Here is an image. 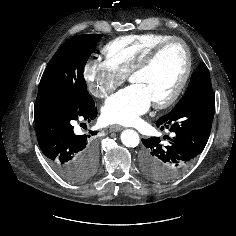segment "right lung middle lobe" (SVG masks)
<instances>
[{"instance_id":"obj_1","label":"right lung middle lobe","mask_w":236,"mask_h":236,"mask_svg":"<svg viewBox=\"0 0 236 236\" xmlns=\"http://www.w3.org/2000/svg\"><path fill=\"white\" fill-rule=\"evenodd\" d=\"M101 37L100 34H87L66 41L54 54L42 75L37 100H58L77 108L93 105L94 101L86 89L83 69ZM96 166L97 158H92L81 168L79 180L89 178Z\"/></svg>"}]
</instances>
